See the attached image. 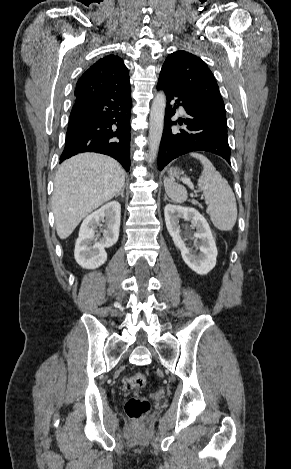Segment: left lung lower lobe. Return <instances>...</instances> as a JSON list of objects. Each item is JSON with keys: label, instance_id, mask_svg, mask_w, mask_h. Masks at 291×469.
<instances>
[{"label": "left lung lower lobe", "instance_id": "1", "mask_svg": "<svg viewBox=\"0 0 291 469\" xmlns=\"http://www.w3.org/2000/svg\"><path fill=\"white\" fill-rule=\"evenodd\" d=\"M157 89H163L167 97L166 126L158 155L159 170L173 159L193 151L212 152L230 163L226 113L178 93L161 81H158ZM172 100L175 101L174 105L171 104ZM179 106L185 109L186 118L178 120V123H185L187 129L175 132L170 126L176 122H172L170 118Z\"/></svg>", "mask_w": 291, "mask_h": 469}]
</instances>
